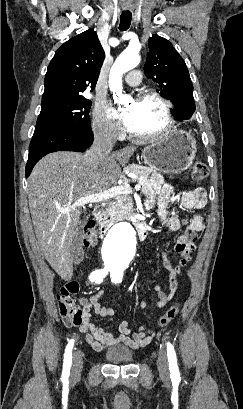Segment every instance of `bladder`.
Listing matches in <instances>:
<instances>
[{"label": "bladder", "instance_id": "1", "mask_svg": "<svg viewBox=\"0 0 243 409\" xmlns=\"http://www.w3.org/2000/svg\"><path fill=\"white\" fill-rule=\"evenodd\" d=\"M104 355L106 360L112 364H128L134 359L133 351L122 345L109 348Z\"/></svg>", "mask_w": 243, "mask_h": 409}]
</instances>
